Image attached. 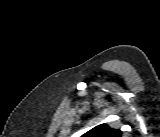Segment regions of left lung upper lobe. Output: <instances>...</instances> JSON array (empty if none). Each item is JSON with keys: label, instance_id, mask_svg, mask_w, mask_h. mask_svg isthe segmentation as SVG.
Here are the masks:
<instances>
[{"label": "left lung upper lobe", "instance_id": "obj_1", "mask_svg": "<svg viewBox=\"0 0 160 137\" xmlns=\"http://www.w3.org/2000/svg\"><path fill=\"white\" fill-rule=\"evenodd\" d=\"M83 137H121V131L101 124L85 133Z\"/></svg>", "mask_w": 160, "mask_h": 137}]
</instances>
